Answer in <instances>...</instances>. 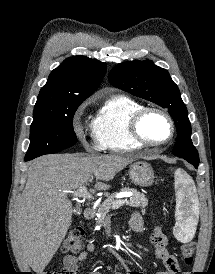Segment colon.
<instances>
[{"label": "colon", "instance_id": "5ec220e1", "mask_svg": "<svg viewBox=\"0 0 215 274\" xmlns=\"http://www.w3.org/2000/svg\"><path fill=\"white\" fill-rule=\"evenodd\" d=\"M84 230L81 227L72 229L65 238L62 249L65 252H78L82 248V237ZM195 246L193 243L185 244L182 247V255L186 264H191L193 261ZM44 274H68L65 270L57 272H46Z\"/></svg>", "mask_w": 215, "mask_h": 274}]
</instances>
